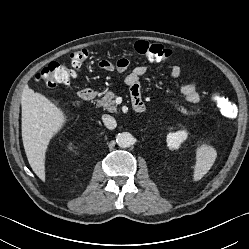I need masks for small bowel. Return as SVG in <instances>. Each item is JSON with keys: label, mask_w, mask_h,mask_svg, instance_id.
<instances>
[{"label": "small bowel", "mask_w": 249, "mask_h": 249, "mask_svg": "<svg viewBox=\"0 0 249 249\" xmlns=\"http://www.w3.org/2000/svg\"><path fill=\"white\" fill-rule=\"evenodd\" d=\"M99 68L104 71H112L114 66L107 60H102L98 64ZM129 67V61L126 58H121L116 63V69L118 72H124ZM181 67L178 64H174L171 67L170 73L173 78H178L181 75ZM146 73V67L137 66L127 76L126 83L129 85L131 90L132 99L140 98L141 95V77ZM181 94L184 96L187 102L195 104L199 102L201 95L198 91L195 82H190L181 86Z\"/></svg>", "instance_id": "small-bowel-1"}]
</instances>
